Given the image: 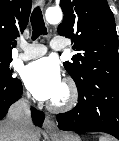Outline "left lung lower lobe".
<instances>
[{"instance_id":"left-lung-lower-lobe-1","label":"left lung lower lobe","mask_w":119,"mask_h":141,"mask_svg":"<svg viewBox=\"0 0 119 141\" xmlns=\"http://www.w3.org/2000/svg\"><path fill=\"white\" fill-rule=\"evenodd\" d=\"M78 93L77 106L57 115L59 129L100 131L119 139V75H100Z\"/></svg>"}]
</instances>
